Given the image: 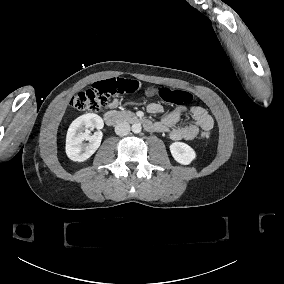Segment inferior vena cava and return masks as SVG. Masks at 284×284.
Returning <instances> with one entry per match:
<instances>
[{"instance_id": "inferior-vena-cava-1", "label": "inferior vena cava", "mask_w": 284, "mask_h": 284, "mask_svg": "<svg viewBox=\"0 0 284 284\" xmlns=\"http://www.w3.org/2000/svg\"><path fill=\"white\" fill-rule=\"evenodd\" d=\"M130 132V125L128 122H120L115 126V133L120 136H125Z\"/></svg>"}]
</instances>
